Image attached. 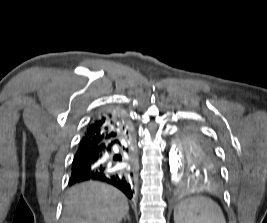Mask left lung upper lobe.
Masks as SVG:
<instances>
[{
  "instance_id": "1",
  "label": "left lung upper lobe",
  "mask_w": 267,
  "mask_h": 223,
  "mask_svg": "<svg viewBox=\"0 0 267 223\" xmlns=\"http://www.w3.org/2000/svg\"><path fill=\"white\" fill-rule=\"evenodd\" d=\"M179 146L183 171H219L212 144L197 131L185 130Z\"/></svg>"
}]
</instances>
